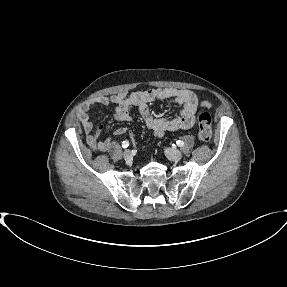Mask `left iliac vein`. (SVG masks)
<instances>
[{
	"label": "left iliac vein",
	"instance_id": "1",
	"mask_svg": "<svg viewBox=\"0 0 287 287\" xmlns=\"http://www.w3.org/2000/svg\"><path fill=\"white\" fill-rule=\"evenodd\" d=\"M165 154L171 161L174 162H178L182 158V153L174 148H165Z\"/></svg>",
	"mask_w": 287,
	"mask_h": 287
}]
</instances>
